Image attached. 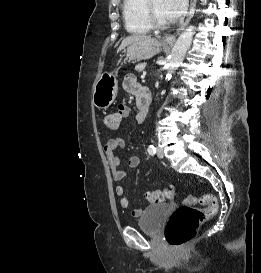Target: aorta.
Here are the masks:
<instances>
[{
    "label": "aorta",
    "instance_id": "obj_1",
    "mask_svg": "<svg viewBox=\"0 0 261 273\" xmlns=\"http://www.w3.org/2000/svg\"><path fill=\"white\" fill-rule=\"evenodd\" d=\"M193 31L194 27L189 26L180 34V36L176 40L167 64L168 74L172 73L176 67L182 64L186 52L191 46Z\"/></svg>",
    "mask_w": 261,
    "mask_h": 273
}]
</instances>
